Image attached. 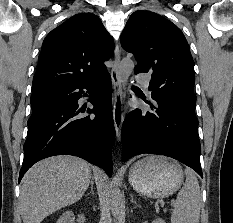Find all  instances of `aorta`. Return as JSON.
Returning <instances> with one entry per match:
<instances>
[{
    "label": "aorta",
    "mask_w": 233,
    "mask_h": 223,
    "mask_svg": "<svg viewBox=\"0 0 233 223\" xmlns=\"http://www.w3.org/2000/svg\"><path fill=\"white\" fill-rule=\"evenodd\" d=\"M134 70V62L132 60H129V58H126V60H122L120 66H119V78L121 84H127L129 80V76H131L132 72ZM122 203V195L119 187H113L111 193H110V205H111V211L116 215L117 211H120Z\"/></svg>",
    "instance_id": "obj_1"
}]
</instances>
